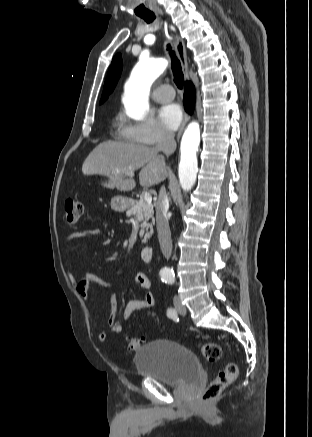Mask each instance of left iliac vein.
Returning <instances> with one entry per match:
<instances>
[{"instance_id":"4c4485c4","label":"left iliac vein","mask_w":312,"mask_h":437,"mask_svg":"<svg viewBox=\"0 0 312 437\" xmlns=\"http://www.w3.org/2000/svg\"><path fill=\"white\" fill-rule=\"evenodd\" d=\"M174 305H175V309L177 310L178 313H180L181 315H185L186 314V308L185 306L182 305V303L180 302L179 297L176 295L174 296Z\"/></svg>"}]
</instances>
